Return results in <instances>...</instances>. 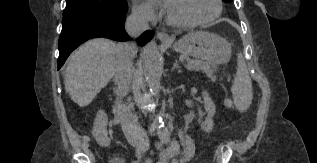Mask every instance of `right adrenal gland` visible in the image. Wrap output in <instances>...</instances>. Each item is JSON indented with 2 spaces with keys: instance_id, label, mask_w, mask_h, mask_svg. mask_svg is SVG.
Masks as SVG:
<instances>
[{
  "instance_id": "right-adrenal-gland-1",
  "label": "right adrenal gland",
  "mask_w": 317,
  "mask_h": 163,
  "mask_svg": "<svg viewBox=\"0 0 317 163\" xmlns=\"http://www.w3.org/2000/svg\"><path fill=\"white\" fill-rule=\"evenodd\" d=\"M113 91H114V94H115V92H116L115 88H113Z\"/></svg>"
}]
</instances>
